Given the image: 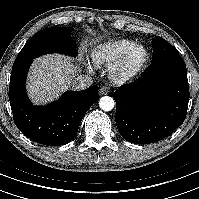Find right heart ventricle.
Wrapping results in <instances>:
<instances>
[{
    "label": "right heart ventricle",
    "instance_id": "1",
    "mask_svg": "<svg viewBox=\"0 0 199 199\" xmlns=\"http://www.w3.org/2000/svg\"><path fill=\"white\" fill-rule=\"evenodd\" d=\"M134 42L126 38L111 39L95 45L91 50V60L98 67H111L120 55Z\"/></svg>",
    "mask_w": 199,
    "mask_h": 199
}]
</instances>
